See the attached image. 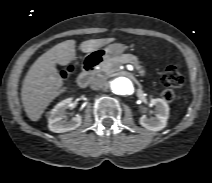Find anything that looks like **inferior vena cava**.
<instances>
[{"mask_svg":"<svg viewBox=\"0 0 212 183\" xmlns=\"http://www.w3.org/2000/svg\"><path fill=\"white\" fill-rule=\"evenodd\" d=\"M104 84H105V82H104V80L102 78H94L91 81L90 87L93 90H99V89H101L104 86Z\"/></svg>","mask_w":212,"mask_h":183,"instance_id":"602c4592","label":"inferior vena cava"}]
</instances>
